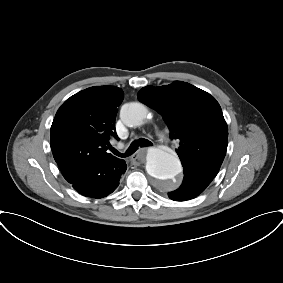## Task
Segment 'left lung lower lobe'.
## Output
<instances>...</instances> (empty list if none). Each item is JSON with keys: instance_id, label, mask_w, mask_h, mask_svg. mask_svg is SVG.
I'll return each instance as SVG.
<instances>
[{"instance_id": "obj_1", "label": "left lung lower lobe", "mask_w": 283, "mask_h": 283, "mask_svg": "<svg viewBox=\"0 0 283 283\" xmlns=\"http://www.w3.org/2000/svg\"><path fill=\"white\" fill-rule=\"evenodd\" d=\"M210 183L208 180L197 179L191 175L184 174V180L180 188L170 192L168 196L175 201L189 200L202 193Z\"/></svg>"}]
</instances>
